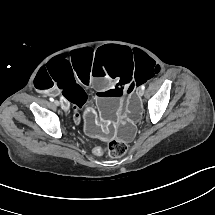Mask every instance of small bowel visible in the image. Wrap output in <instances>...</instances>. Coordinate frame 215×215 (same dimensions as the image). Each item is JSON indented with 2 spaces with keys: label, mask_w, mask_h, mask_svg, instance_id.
<instances>
[{
  "label": "small bowel",
  "mask_w": 215,
  "mask_h": 215,
  "mask_svg": "<svg viewBox=\"0 0 215 215\" xmlns=\"http://www.w3.org/2000/svg\"><path fill=\"white\" fill-rule=\"evenodd\" d=\"M94 152H95V153L101 154V153H102V149H101V148H96V149L94 150Z\"/></svg>",
  "instance_id": "small-bowel-1"
}]
</instances>
